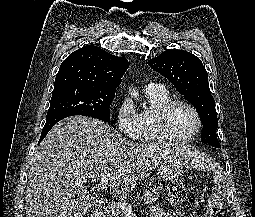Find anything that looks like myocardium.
<instances>
[{
    "mask_svg": "<svg viewBox=\"0 0 255 217\" xmlns=\"http://www.w3.org/2000/svg\"><path fill=\"white\" fill-rule=\"evenodd\" d=\"M177 105H184L188 107L196 117L197 128L195 132L186 138H178L174 136L169 130L168 118L171 110ZM156 124L159 135L163 140L173 143H188L197 138L203 127V120L198 109L189 101L183 99H172L165 103L157 112Z\"/></svg>",
    "mask_w": 255,
    "mask_h": 217,
    "instance_id": "obj_1",
    "label": "myocardium"
}]
</instances>
